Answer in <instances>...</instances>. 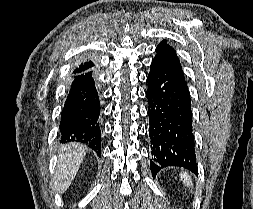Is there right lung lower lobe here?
<instances>
[{
    "label": "right lung lower lobe",
    "instance_id": "1",
    "mask_svg": "<svg viewBox=\"0 0 253 209\" xmlns=\"http://www.w3.org/2000/svg\"><path fill=\"white\" fill-rule=\"evenodd\" d=\"M100 100L93 72L76 74L60 119V142H80L101 156Z\"/></svg>",
    "mask_w": 253,
    "mask_h": 209
}]
</instances>
